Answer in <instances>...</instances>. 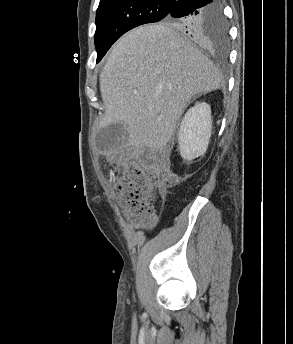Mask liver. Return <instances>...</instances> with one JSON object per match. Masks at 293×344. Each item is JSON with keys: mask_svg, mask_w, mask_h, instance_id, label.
Listing matches in <instances>:
<instances>
[{"mask_svg": "<svg viewBox=\"0 0 293 344\" xmlns=\"http://www.w3.org/2000/svg\"><path fill=\"white\" fill-rule=\"evenodd\" d=\"M222 83L212 61L172 27H138L116 42L100 74L104 125L124 126L123 148L163 152L191 98Z\"/></svg>", "mask_w": 293, "mask_h": 344, "instance_id": "1", "label": "liver"}]
</instances>
